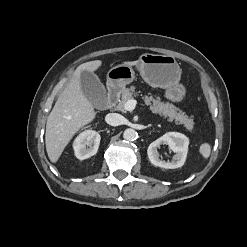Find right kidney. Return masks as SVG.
<instances>
[{
  "label": "right kidney",
  "mask_w": 247,
  "mask_h": 247,
  "mask_svg": "<svg viewBox=\"0 0 247 247\" xmlns=\"http://www.w3.org/2000/svg\"><path fill=\"white\" fill-rule=\"evenodd\" d=\"M100 134L94 130H86L79 134L73 143L75 156L84 160L95 155L100 144Z\"/></svg>",
  "instance_id": "right-kidney-1"
}]
</instances>
